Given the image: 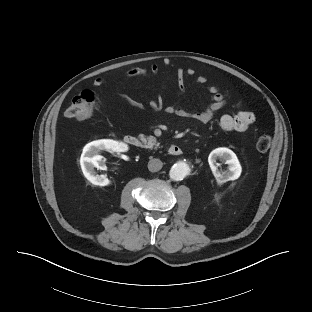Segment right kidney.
I'll use <instances>...</instances> for the list:
<instances>
[{
	"mask_svg": "<svg viewBox=\"0 0 312 312\" xmlns=\"http://www.w3.org/2000/svg\"><path fill=\"white\" fill-rule=\"evenodd\" d=\"M101 150H107L111 153L125 152L128 150V146L123 142L102 139L90 142L83 148L80 165L84 176L94 185L107 186L111 181L106 175H98L94 170V168L106 169L105 158L98 154Z\"/></svg>",
	"mask_w": 312,
	"mask_h": 312,
	"instance_id": "obj_1",
	"label": "right kidney"
}]
</instances>
